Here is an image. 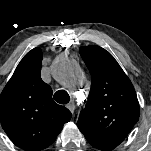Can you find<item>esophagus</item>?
<instances>
[{"label": "esophagus", "instance_id": "esophagus-1", "mask_svg": "<svg viewBox=\"0 0 151 151\" xmlns=\"http://www.w3.org/2000/svg\"><path fill=\"white\" fill-rule=\"evenodd\" d=\"M67 108L70 110V112L73 114L74 110H75V104L74 102H70L69 104H67Z\"/></svg>", "mask_w": 151, "mask_h": 151}]
</instances>
